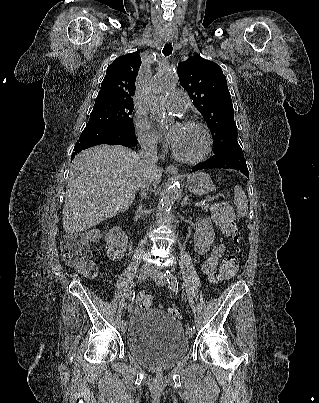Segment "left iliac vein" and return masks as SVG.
<instances>
[{"mask_svg": "<svg viewBox=\"0 0 319 403\" xmlns=\"http://www.w3.org/2000/svg\"><path fill=\"white\" fill-rule=\"evenodd\" d=\"M150 275L158 286L164 287L166 285V277L159 269H152ZM187 335L189 338H193L194 331H187Z\"/></svg>", "mask_w": 319, "mask_h": 403, "instance_id": "1", "label": "left iliac vein"}]
</instances>
